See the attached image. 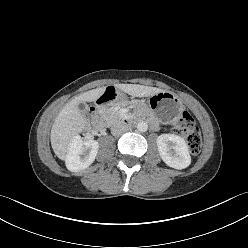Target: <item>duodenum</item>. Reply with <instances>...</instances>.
<instances>
[{
	"label": "duodenum",
	"mask_w": 248,
	"mask_h": 248,
	"mask_svg": "<svg viewBox=\"0 0 248 248\" xmlns=\"http://www.w3.org/2000/svg\"><path fill=\"white\" fill-rule=\"evenodd\" d=\"M118 98V92L116 87L109 86L105 88L100 95H98L95 100H91L88 103L90 109V119L91 125L96 130H101L103 127V116H102V108L115 101ZM135 119L133 117L125 118L124 122L126 125L131 126L135 123ZM152 126L157 127V124L152 121Z\"/></svg>",
	"instance_id": "obj_1"
}]
</instances>
